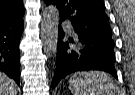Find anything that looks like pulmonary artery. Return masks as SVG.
Listing matches in <instances>:
<instances>
[{
	"mask_svg": "<svg viewBox=\"0 0 135 95\" xmlns=\"http://www.w3.org/2000/svg\"><path fill=\"white\" fill-rule=\"evenodd\" d=\"M66 25L68 26L69 31L72 32V27L69 25V23H66Z\"/></svg>",
	"mask_w": 135,
	"mask_h": 95,
	"instance_id": "obj_1",
	"label": "pulmonary artery"
}]
</instances>
